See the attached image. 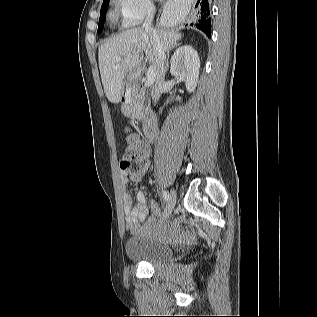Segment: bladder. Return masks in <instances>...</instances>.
Listing matches in <instances>:
<instances>
[{"label":"bladder","mask_w":317,"mask_h":317,"mask_svg":"<svg viewBox=\"0 0 317 317\" xmlns=\"http://www.w3.org/2000/svg\"><path fill=\"white\" fill-rule=\"evenodd\" d=\"M126 255L130 260L163 263L174 258V250L141 234L131 237L126 243Z\"/></svg>","instance_id":"1"}]
</instances>
